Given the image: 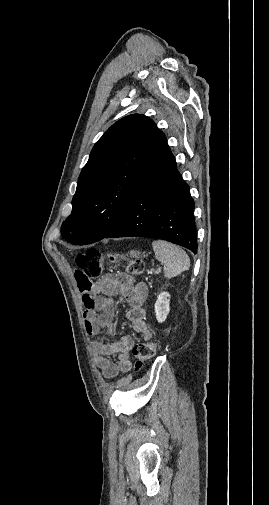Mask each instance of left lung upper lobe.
<instances>
[{
    "instance_id": "obj_1",
    "label": "left lung upper lobe",
    "mask_w": 269,
    "mask_h": 505,
    "mask_svg": "<svg viewBox=\"0 0 269 505\" xmlns=\"http://www.w3.org/2000/svg\"><path fill=\"white\" fill-rule=\"evenodd\" d=\"M160 133L140 114L113 124L94 145L79 176L62 237L75 245L103 239L121 217Z\"/></svg>"
}]
</instances>
